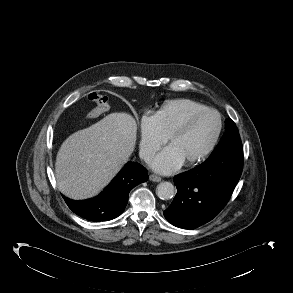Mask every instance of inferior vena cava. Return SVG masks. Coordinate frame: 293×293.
<instances>
[{"instance_id": "inferior-vena-cava-1", "label": "inferior vena cava", "mask_w": 293, "mask_h": 293, "mask_svg": "<svg viewBox=\"0 0 293 293\" xmlns=\"http://www.w3.org/2000/svg\"><path fill=\"white\" fill-rule=\"evenodd\" d=\"M139 155H140V158L141 159H143L145 162H149V161H151V159L153 158V156H154V154L151 152V151H149V150H145V149H142V150H140V153H139Z\"/></svg>"}]
</instances>
